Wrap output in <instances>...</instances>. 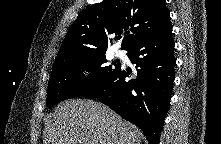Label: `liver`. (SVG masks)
Segmentation results:
<instances>
[{"label":"liver","mask_w":221,"mask_h":144,"mask_svg":"<svg viewBox=\"0 0 221 144\" xmlns=\"http://www.w3.org/2000/svg\"><path fill=\"white\" fill-rule=\"evenodd\" d=\"M44 144H141V132L102 103L72 99L45 124Z\"/></svg>","instance_id":"6515ba94"}]
</instances>
